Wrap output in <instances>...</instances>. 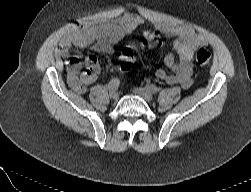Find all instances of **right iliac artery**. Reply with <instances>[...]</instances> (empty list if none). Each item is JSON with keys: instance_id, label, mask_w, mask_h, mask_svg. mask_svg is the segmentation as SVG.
Wrapping results in <instances>:
<instances>
[{"instance_id": "82829eb1", "label": "right iliac artery", "mask_w": 251, "mask_h": 192, "mask_svg": "<svg viewBox=\"0 0 251 192\" xmlns=\"http://www.w3.org/2000/svg\"><path fill=\"white\" fill-rule=\"evenodd\" d=\"M119 84H120V81L118 78H114L112 79L108 84H107V89L109 91H112V90H117L118 87H119Z\"/></svg>"}]
</instances>
